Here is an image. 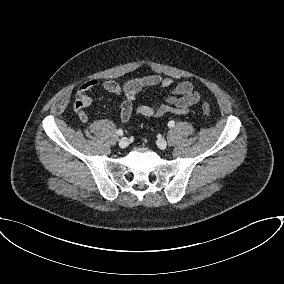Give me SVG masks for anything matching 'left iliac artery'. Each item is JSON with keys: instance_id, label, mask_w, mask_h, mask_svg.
I'll return each mask as SVG.
<instances>
[{"instance_id": "left-iliac-artery-1", "label": "left iliac artery", "mask_w": 284, "mask_h": 284, "mask_svg": "<svg viewBox=\"0 0 284 284\" xmlns=\"http://www.w3.org/2000/svg\"><path fill=\"white\" fill-rule=\"evenodd\" d=\"M175 122L173 120L168 122V127H174Z\"/></svg>"}]
</instances>
